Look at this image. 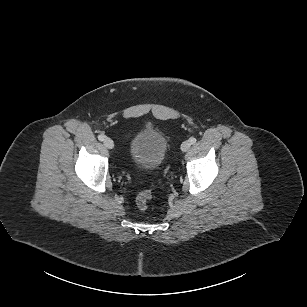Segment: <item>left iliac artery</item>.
Segmentation results:
<instances>
[{
    "label": "left iliac artery",
    "mask_w": 307,
    "mask_h": 307,
    "mask_svg": "<svg viewBox=\"0 0 307 307\" xmlns=\"http://www.w3.org/2000/svg\"><path fill=\"white\" fill-rule=\"evenodd\" d=\"M196 141H197V140H196V138H195V137L190 138V143H191V144H195V143H196Z\"/></svg>",
    "instance_id": "left-iliac-artery-1"
}]
</instances>
